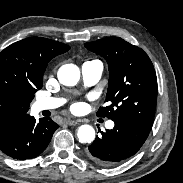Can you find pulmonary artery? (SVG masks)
Wrapping results in <instances>:
<instances>
[{
  "label": "pulmonary artery",
  "instance_id": "pulmonary-artery-1",
  "mask_svg": "<svg viewBox=\"0 0 183 183\" xmlns=\"http://www.w3.org/2000/svg\"><path fill=\"white\" fill-rule=\"evenodd\" d=\"M82 77L85 86L89 87L96 84L103 72V64L99 60H92L83 63L81 67ZM63 103V99L56 97L39 98L34 103L35 111L51 110L58 108ZM114 126L113 122L107 123V128L111 129Z\"/></svg>",
  "mask_w": 183,
  "mask_h": 183
}]
</instances>
